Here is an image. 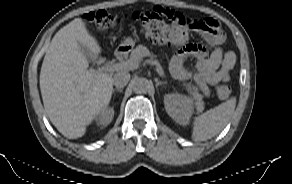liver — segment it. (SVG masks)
Wrapping results in <instances>:
<instances>
[{
    "mask_svg": "<svg viewBox=\"0 0 292 184\" xmlns=\"http://www.w3.org/2000/svg\"><path fill=\"white\" fill-rule=\"evenodd\" d=\"M80 45L91 51L93 59L101 52L85 22L75 18L53 37L40 71L46 113L69 139L85 134L86 126L109 104L113 91V74L88 70Z\"/></svg>",
    "mask_w": 292,
    "mask_h": 184,
    "instance_id": "6515ba94",
    "label": "liver"
}]
</instances>
